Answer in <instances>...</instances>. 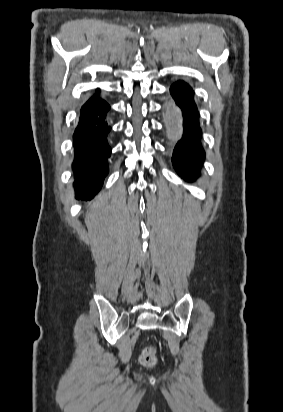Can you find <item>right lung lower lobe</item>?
Returning a JSON list of instances; mask_svg holds the SVG:
<instances>
[{"instance_id": "98d812e1", "label": "right lung lower lobe", "mask_w": 283, "mask_h": 412, "mask_svg": "<svg viewBox=\"0 0 283 412\" xmlns=\"http://www.w3.org/2000/svg\"><path fill=\"white\" fill-rule=\"evenodd\" d=\"M110 106L93 97L80 110L73 135L75 188L77 198L91 199L101 188L108 172L106 160L111 154L107 135L111 126L106 121Z\"/></svg>"}]
</instances>
